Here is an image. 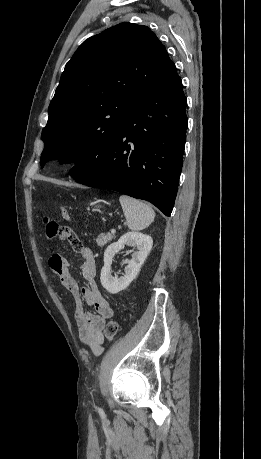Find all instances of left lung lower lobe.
Instances as JSON below:
<instances>
[{"mask_svg":"<svg viewBox=\"0 0 261 459\" xmlns=\"http://www.w3.org/2000/svg\"><path fill=\"white\" fill-rule=\"evenodd\" d=\"M186 105L174 65L135 108L99 166L73 179L147 200L170 216L182 169Z\"/></svg>","mask_w":261,"mask_h":459,"instance_id":"0a47b994","label":"left lung lower lobe"}]
</instances>
